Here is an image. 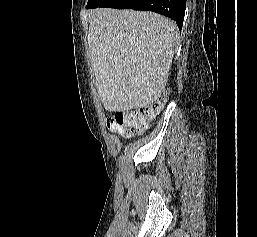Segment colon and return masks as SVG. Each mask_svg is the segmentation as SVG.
Instances as JSON below:
<instances>
[{"instance_id": "5ec220e1", "label": "colon", "mask_w": 257, "mask_h": 237, "mask_svg": "<svg viewBox=\"0 0 257 237\" xmlns=\"http://www.w3.org/2000/svg\"><path fill=\"white\" fill-rule=\"evenodd\" d=\"M165 98L162 97L152 105L141 107L135 112H117L106 121L108 127L129 137L141 133L162 110Z\"/></svg>"}]
</instances>
